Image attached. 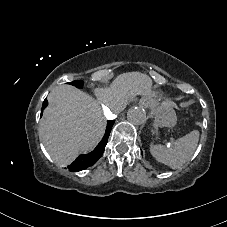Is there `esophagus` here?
I'll use <instances>...</instances> for the list:
<instances>
[{
	"label": "esophagus",
	"instance_id": "esophagus-1",
	"mask_svg": "<svg viewBox=\"0 0 227 227\" xmlns=\"http://www.w3.org/2000/svg\"><path fill=\"white\" fill-rule=\"evenodd\" d=\"M139 106H140L141 109L146 110V109L149 108L150 103H149L148 100L143 99V100L140 101Z\"/></svg>",
	"mask_w": 227,
	"mask_h": 227
}]
</instances>
